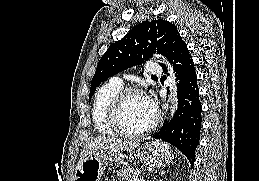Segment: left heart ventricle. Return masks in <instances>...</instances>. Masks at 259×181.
<instances>
[{"instance_id": "1", "label": "left heart ventricle", "mask_w": 259, "mask_h": 181, "mask_svg": "<svg viewBox=\"0 0 259 181\" xmlns=\"http://www.w3.org/2000/svg\"><path fill=\"white\" fill-rule=\"evenodd\" d=\"M155 112L148 105L147 99L141 96L130 97L122 110V123L130 130H140L154 119Z\"/></svg>"}]
</instances>
